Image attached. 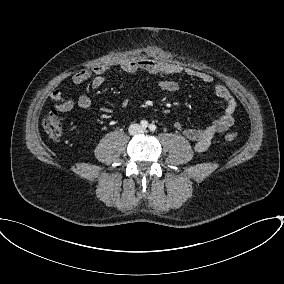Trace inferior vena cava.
Returning a JSON list of instances; mask_svg holds the SVG:
<instances>
[{"label": "inferior vena cava", "mask_w": 284, "mask_h": 284, "mask_svg": "<svg viewBox=\"0 0 284 284\" xmlns=\"http://www.w3.org/2000/svg\"><path fill=\"white\" fill-rule=\"evenodd\" d=\"M129 134L130 135H137L144 132V128L139 124H132L129 126Z\"/></svg>", "instance_id": "inferior-vena-cava-1"}]
</instances>
